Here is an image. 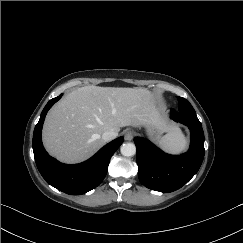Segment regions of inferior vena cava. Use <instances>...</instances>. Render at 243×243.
Listing matches in <instances>:
<instances>
[{
    "instance_id": "inferior-vena-cava-1",
    "label": "inferior vena cava",
    "mask_w": 243,
    "mask_h": 243,
    "mask_svg": "<svg viewBox=\"0 0 243 243\" xmlns=\"http://www.w3.org/2000/svg\"><path fill=\"white\" fill-rule=\"evenodd\" d=\"M117 133L114 132V131H106L102 134V139L105 141V142H108V141H111L113 140L114 138L117 137Z\"/></svg>"
}]
</instances>
